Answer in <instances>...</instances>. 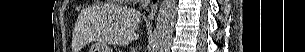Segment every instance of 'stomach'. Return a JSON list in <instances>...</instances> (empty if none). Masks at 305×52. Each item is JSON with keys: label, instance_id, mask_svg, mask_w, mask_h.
Returning <instances> with one entry per match:
<instances>
[{"label": "stomach", "instance_id": "0dacf381", "mask_svg": "<svg viewBox=\"0 0 305 52\" xmlns=\"http://www.w3.org/2000/svg\"><path fill=\"white\" fill-rule=\"evenodd\" d=\"M89 52H111L105 43L96 42L94 43Z\"/></svg>", "mask_w": 305, "mask_h": 52}]
</instances>
